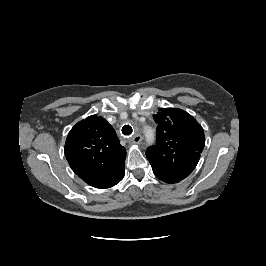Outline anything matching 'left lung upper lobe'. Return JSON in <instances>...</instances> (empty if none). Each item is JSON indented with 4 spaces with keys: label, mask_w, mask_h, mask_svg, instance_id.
<instances>
[{
    "label": "left lung upper lobe",
    "mask_w": 266,
    "mask_h": 266,
    "mask_svg": "<svg viewBox=\"0 0 266 266\" xmlns=\"http://www.w3.org/2000/svg\"><path fill=\"white\" fill-rule=\"evenodd\" d=\"M157 126L156 145L146 151L155 176L177 183L196 167L205 145L201 125L187 112L161 108L153 116Z\"/></svg>",
    "instance_id": "obj_1"
}]
</instances>
